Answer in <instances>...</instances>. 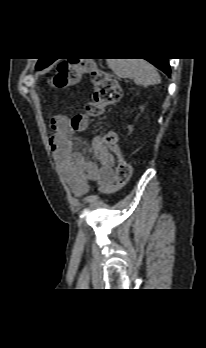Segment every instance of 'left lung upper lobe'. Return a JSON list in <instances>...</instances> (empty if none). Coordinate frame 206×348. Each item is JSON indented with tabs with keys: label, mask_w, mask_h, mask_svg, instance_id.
I'll use <instances>...</instances> for the list:
<instances>
[{
	"label": "left lung upper lobe",
	"mask_w": 206,
	"mask_h": 348,
	"mask_svg": "<svg viewBox=\"0 0 206 348\" xmlns=\"http://www.w3.org/2000/svg\"><path fill=\"white\" fill-rule=\"evenodd\" d=\"M52 61L45 60V59H40L36 65L37 70H41L45 67H47L49 64H51Z\"/></svg>",
	"instance_id": "5c2ea615"
}]
</instances>
